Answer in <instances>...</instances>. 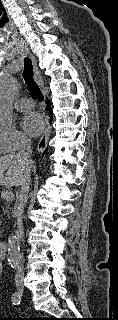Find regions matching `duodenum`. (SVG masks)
Wrapping results in <instances>:
<instances>
[{
	"label": "duodenum",
	"instance_id": "410a0bca",
	"mask_svg": "<svg viewBox=\"0 0 118 320\" xmlns=\"http://www.w3.org/2000/svg\"><path fill=\"white\" fill-rule=\"evenodd\" d=\"M8 243L6 241H0V260H4L7 257Z\"/></svg>",
	"mask_w": 118,
	"mask_h": 320
}]
</instances>
